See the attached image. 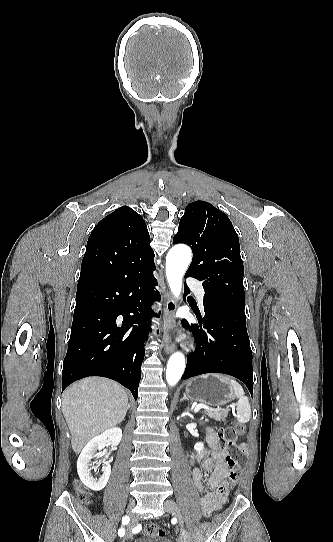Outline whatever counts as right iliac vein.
<instances>
[{
    "label": "right iliac vein",
    "mask_w": 333,
    "mask_h": 542,
    "mask_svg": "<svg viewBox=\"0 0 333 542\" xmlns=\"http://www.w3.org/2000/svg\"><path fill=\"white\" fill-rule=\"evenodd\" d=\"M131 506L132 505H130V510L127 512L128 516H130V517H132ZM133 520H135V519H133ZM132 528H133V525L129 524V526L127 528L126 536H125L126 539H130V537L132 536V533H131Z\"/></svg>",
    "instance_id": "1"
}]
</instances>
